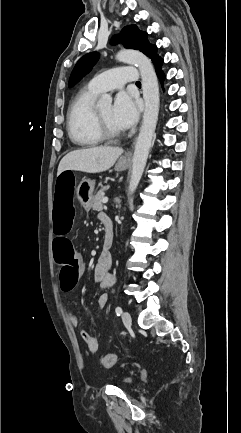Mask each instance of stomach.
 I'll return each instance as SVG.
<instances>
[{"label":"stomach","instance_id":"1","mask_svg":"<svg viewBox=\"0 0 241 433\" xmlns=\"http://www.w3.org/2000/svg\"><path fill=\"white\" fill-rule=\"evenodd\" d=\"M129 163L120 158L115 165L116 171H124L128 168ZM95 182L91 180H82L78 185L74 187L75 198L79 201L81 206L85 209H89L91 203L93 202V190Z\"/></svg>","mask_w":241,"mask_h":433}]
</instances>
